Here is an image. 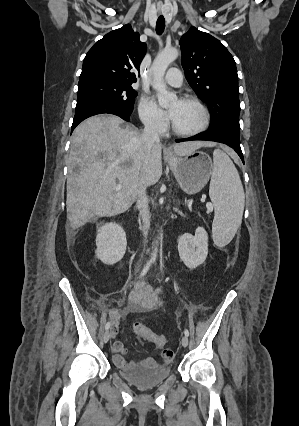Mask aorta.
Listing matches in <instances>:
<instances>
[{
    "label": "aorta",
    "instance_id": "762f6f07",
    "mask_svg": "<svg viewBox=\"0 0 299 426\" xmlns=\"http://www.w3.org/2000/svg\"><path fill=\"white\" fill-rule=\"evenodd\" d=\"M179 52L176 48L164 49L160 52L152 66L151 71L153 75L152 87L158 93V102L162 107H167L174 99H176V94L167 90V86L164 82L165 72L175 59H177ZM158 248L155 247L151 255L153 261L156 260Z\"/></svg>",
    "mask_w": 299,
    "mask_h": 426
}]
</instances>
